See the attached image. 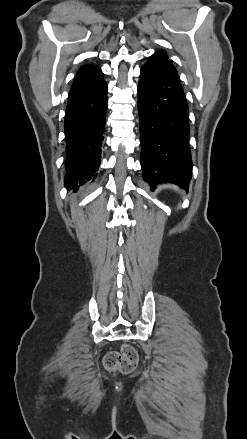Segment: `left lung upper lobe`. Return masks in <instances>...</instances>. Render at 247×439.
Masks as SVG:
<instances>
[{
  "label": "left lung upper lobe",
  "mask_w": 247,
  "mask_h": 439,
  "mask_svg": "<svg viewBox=\"0 0 247 439\" xmlns=\"http://www.w3.org/2000/svg\"><path fill=\"white\" fill-rule=\"evenodd\" d=\"M152 59L159 61L163 66H165L171 72L177 74V71L174 65L169 60L168 56L163 51H158L154 55L151 56Z\"/></svg>",
  "instance_id": "obj_1"
}]
</instances>
